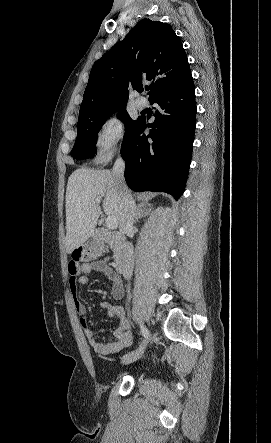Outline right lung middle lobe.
Segmentation results:
<instances>
[{
  "mask_svg": "<svg viewBox=\"0 0 271 443\" xmlns=\"http://www.w3.org/2000/svg\"><path fill=\"white\" fill-rule=\"evenodd\" d=\"M124 108L125 106L120 107L99 117L80 118L77 123V138L71 151V156L80 160L90 158L94 155L96 151L97 134L108 117L114 112L119 111L117 116L123 120L127 133L136 123V120H132Z\"/></svg>",
  "mask_w": 271,
  "mask_h": 443,
  "instance_id": "right-lung-middle-lobe-1",
  "label": "right lung middle lobe"
}]
</instances>
